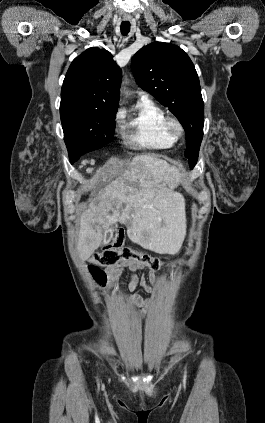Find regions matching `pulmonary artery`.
Here are the masks:
<instances>
[{
  "mask_svg": "<svg viewBox=\"0 0 265 423\" xmlns=\"http://www.w3.org/2000/svg\"><path fill=\"white\" fill-rule=\"evenodd\" d=\"M148 98H149V97H148V95H146V94L142 96V99H148Z\"/></svg>",
  "mask_w": 265,
  "mask_h": 423,
  "instance_id": "e3ab8cb5",
  "label": "pulmonary artery"
}]
</instances>
